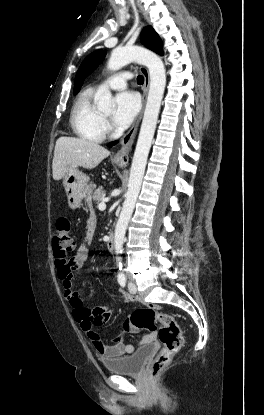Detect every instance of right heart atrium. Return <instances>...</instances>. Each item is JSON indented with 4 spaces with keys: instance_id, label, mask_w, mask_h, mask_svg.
<instances>
[{
    "instance_id": "d8ad5b80",
    "label": "right heart atrium",
    "mask_w": 264,
    "mask_h": 415,
    "mask_svg": "<svg viewBox=\"0 0 264 415\" xmlns=\"http://www.w3.org/2000/svg\"><path fill=\"white\" fill-rule=\"evenodd\" d=\"M104 127H105L106 129H108V130H110V129H111L110 124H109L108 122H106V121H104Z\"/></svg>"
}]
</instances>
